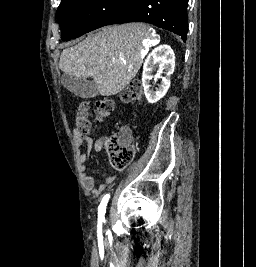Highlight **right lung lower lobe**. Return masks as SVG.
<instances>
[{"instance_id":"obj_1","label":"right lung lower lobe","mask_w":256,"mask_h":267,"mask_svg":"<svg viewBox=\"0 0 256 267\" xmlns=\"http://www.w3.org/2000/svg\"><path fill=\"white\" fill-rule=\"evenodd\" d=\"M188 0H138L129 14L106 23L147 22L180 35L186 41Z\"/></svg>"}]
</instances>
